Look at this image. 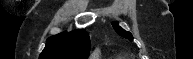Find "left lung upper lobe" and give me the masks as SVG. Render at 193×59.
<instances>
[{
    "mask_svg": "<svg viewBox=\"0 0 193 59\" xmlns=\"http://www.w3.org/2000/svg\"><path fill=\"white\" fill-rule=\"evenodd\" d=\"M112 26L114 28V30L122 37L127 38L128 40L132 41L133 40V36L130 32L125 31L123 28H121L119 26L118 22H113Z\"/></svg>",
    "mask_w": 193,
    "mask_h": 59,
    "instance_id": "1",
    "label": "left lung upper lobe"
}]
</instances>
